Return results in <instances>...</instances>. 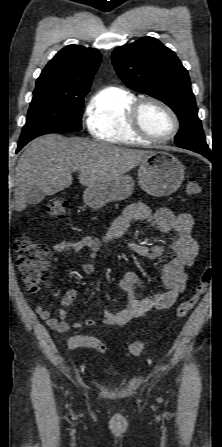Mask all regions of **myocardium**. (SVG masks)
Segmentation results:
<instances>
[{
    "label": "myocardium",
    "instance_id": "obj_1",
    "mask_svg": "<svg viewBox=\"0 0 222 447\" xmlns=\"http://www.w3.org/2000/svg\"><path fill=\"white\" fill-rule=\"evenodd\" d=\"M147 103H152L155 104L159 107H161L171 118L172 120V124H173V129L171 131V133L164 137V138H156L154 136H152L151 134H149L144 127L142 126L141 123V119H140V114H141V110L143 108V106ZM129 121L131 124V127L133 128V130L142 138L146 139L149 142H153V143H165L171 139H173L176 134L179 131L180 128V123H179V119L176 115V113L174 112V110L163 100L158 99L156 97L153 96H144L141 98H138L134 101L133 105L131 106V109L129 111Z\"/></svg>",
    "mask_w": 222,
    "mask_h": 447
}]
</instances>
